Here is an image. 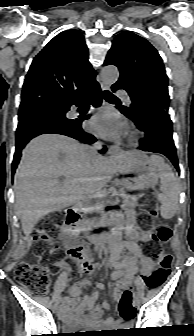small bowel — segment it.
Here are the masks:
<instances>
[{
  "instance_id": "c3829d8e",
  "label": "small bowel",
  "mask_w": 194,
  "mask_h": 336,
  "mask_svg": "<svg viewBox=\"0 0 194 336\" xmlns=\"http://www.w3.org/2000/svg\"><path fill=\"white\" fill-rule=\"evenodd\" d=\"M125 227V240L116 245L111 251V264L114 268L112 273V280L115 282V298L120 299L122 297L121 290L129 287L133 282L139 283L136 279L138 274L137 260L140 261V272L144 275L152 273L155 262L145 255L140 248L138 241L141 233L135 226L133 220V211H126ZM126 249L127 254H123L122 250ZM79 264V270L82 274L87 275L91 272V265L89 262L81 261ZM57 267H61V263H56ZM91 283L84 279L75 283L70 288V295L64 300V307L61 311V317L65 322L71 325H84L90 327H96L99 323L106 326H112L115 322L110 318H100L102 310L109 309V303L104 301L102 305L95 306V302L99 298L100 290L104 287L101 284L96 285V290L89 295H86L83 300L80 301V294L82 288ZM128 325L129 322H124Z\"/></svg>"
}]
</instances>
